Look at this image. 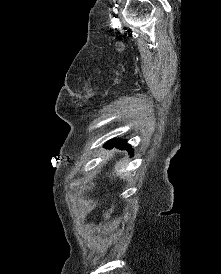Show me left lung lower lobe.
Masks as SVG:
<instances>
[{"label": "left lung lower lobe", "instance_id": "left-lung-lower-lobe-1", "mask_svg": "<svg viewBox=\"0 0 221 274\" xmlns=\"http://www.w3.org/2000/svg\"><path fill=\"white\" fill-rule=\"evenodd\" d=\"M113 146L120 147L121 149H126V150H128V152L131 155L133 154V149L131 148V146L129 144H127L123 140H119V141H117V140H111L108 143H106V147L107 148H112Z\"/></svg>", "mask_w": 221, "mask_h": 274}]
</instances>
